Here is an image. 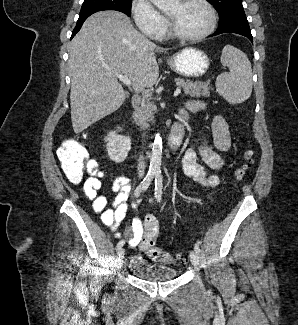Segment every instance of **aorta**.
<instances>
[{
  "instance_id": "762f6f07",
  "label": "aorta",
  "mask_w": 298,
  "mask_h": 325,
  "mask_svg": "<svg viewBox=\"0 0 298 325\" xmlns=\"http://www.w3.org/2000/svg\"><path fill=\"white\" fill-rule=\"evenodd\" d=\"M154 6H158L160 10H167L179 4L180 0H150ZM162 160V138L160 134H156L152 146L149 173H160Z\"/></svg>"
}]
</instances>
